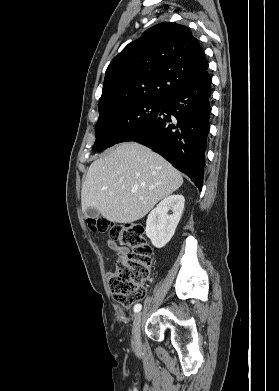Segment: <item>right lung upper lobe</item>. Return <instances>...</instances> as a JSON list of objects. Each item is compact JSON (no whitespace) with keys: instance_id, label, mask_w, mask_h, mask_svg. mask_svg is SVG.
Wrapping results in <instances>:
<instances>
[{"instance_id":"right-lung-upper-lobe-1","label":"right lung upper lobe","mask_w":279,"mask_h":391,"mask_svg":"<svg viewBox=\"0 0 279 391\" xmlns=\"http://www.w3.org/2000/svg\"><path fill=\"white\" fill-rule=\"evenodd\" d=\"M207 69L204 50L186 26L157 24L109 64L99 113L139 100L164 102Z\"/></svg>"}]
</instances>
